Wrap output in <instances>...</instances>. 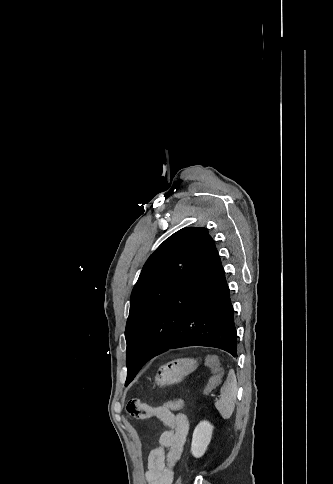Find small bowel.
<instances>
[{
	"label": "small bowel",
	"instance_id": "obj_1",
	"mask_svg": "<svg viewBox=\"0 0 333 484\" xmlns=\"http://www.w3.org/2000/svg\"><path fill=\"white\" fill-rule=\"evenodd\" d=\"M128 412L136 418L156 417L166 427L159 437V446L148 456L145 479L147 484H172L190 428L188 417L181 412L151 407L140 400H131Z\"/></svg>",
	"mask_w": 333,
	"mask_h": 484
}]
</instances>
